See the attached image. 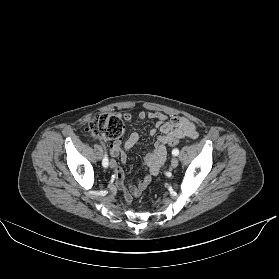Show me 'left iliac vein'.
Masks as SVG:
<instances>
[{"label":"left iliac vein","mask_w":279,"mask_h":279,"mask_svg":"<svg viewBox=\"0 0 279 279\" xmlns=\"http://www.w3.org/2000/svg\"><path fill=\"white\" fill-rule=\"evenodd\" d=\"M171 168H176L178 166V159L173 157L170 164Z\"/></svg>","instance_id":"obj_1"}]
</instances>
